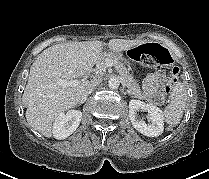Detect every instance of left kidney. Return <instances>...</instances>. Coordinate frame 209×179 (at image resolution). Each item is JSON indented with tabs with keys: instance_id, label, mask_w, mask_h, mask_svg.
<instances>
[{
	"instance_id": "obj_1",
	"label": "left kidney",
	"mask_w": 209,
	"mask_h": 179,
	"mask_svg": "<svg viewBox=\"0 0 209 179\" xmlns=\"http://www.w3.org/2000/svg\"><path fill=\"white\" fill-rule=\"evenodd\" d=\"M148 112L149 124L140 119L137 115L139 110ZM129 118L133 127L141 134L148 137H156L163 133L164 117L163 113L157 106L153 104H146L140 100L132 99L129 102Z\"/></svg>"
}]
</instances>
